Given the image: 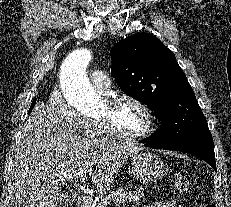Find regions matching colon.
Segmentation results:
<instances>
[{"mask_svg":"<svg viewBox=\"0 0 231 207\" xmlns=\"http://www.w3.org/2000/svg\"><path fill=\"white\" fill-rule=\"evenodd\" d=\"M175 186L178 191L186 194L190 193L192 190L191 181L186 176H177L175 178Z\"/></svg>","mask_w":231,"mask_h":207,"instance_id":"1","label":"colon"}]
</instances>
